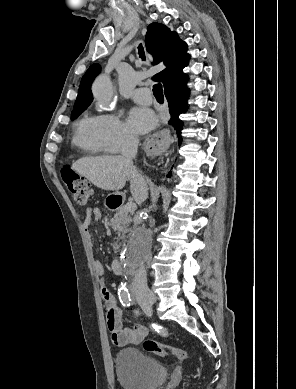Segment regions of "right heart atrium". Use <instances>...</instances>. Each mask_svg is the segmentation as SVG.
Listing matches in <instances>:
<instances>
[{
  "mask_svg": "<svg viewBox=\"0 0 296 389\" xmlns=\"http://www.w3.org/2000/svg\"><path fill=\"white\" fill-rule=\"evenodd\" d=\"M99 125L102 141L108 152L117 153L134 145L137 140L134 133L114 113L100 115Z\"/></svg>",
  "mask_w": 296,
  "mask_h": 389,
  "instance_id": "d8ad5b80",
  "label": "right heart atrium"
}]
</instances>
